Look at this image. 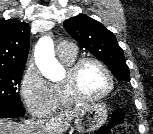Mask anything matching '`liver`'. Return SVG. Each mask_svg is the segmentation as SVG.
I'll return each instance as SVG.
<instances>
[{"mask_svg": "<svg viewBox=\"0 0 153 134\" xmlns=\"http://www.w3.org/2000/svg\"><path fill=\"white\" fill-rule=\"evenodd\" d=\"M82 109L65 110L47 123L44 121L16 122L0 118V134H45L52 132V130L65 132L71 121L80 114Z\"/></svg>", "mask_w": 153, "mask_h": 134, "instance_id": "1", "label": "liver"}]
</instances>
